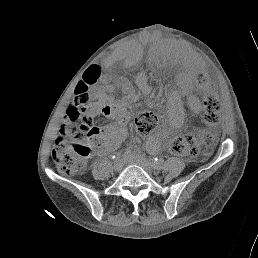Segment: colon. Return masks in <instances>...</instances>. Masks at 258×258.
I'll return each instance as SVG.
<instances>
[{"label": "colon", "instance_id": "obj_1", "mask_svg": "<svg viewBox=\"0 0 258 258\" xmlns=\"http://www.w3.org/2000/svg\"><path fill=\"white\" fill-rule=\"evenodd\" d=\"M102 69L92 65L86 71L75 92L73 102L68 106L64 122L53 147L52 157L58 170L65 175L81 172L86 159L101 144V129L92 127L81 114L80 108L89 100V88L101 78ZM220 104L207 93L203 100V120L205 128L196 133L175 137L170 143L171 151L180 156L197 157L202 146H210L214 141L213 129L219 121ZM136 129L142 134H149L157 125V116L153 112H144L136 117Z\"/></svg>", "mask_w": 258, "mask_h": 258}]
</instances>
